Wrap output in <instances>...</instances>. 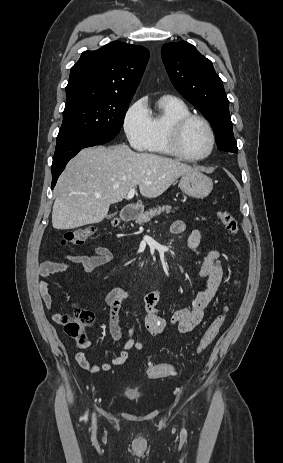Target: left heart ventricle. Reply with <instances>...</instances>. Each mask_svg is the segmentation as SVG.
<instances>
[{"instance_id":"obj_1","label":"left heart ventricle","mask_w":283,"mask_h":463,"mask_svg":"<svg viewBox=\"0 0 283 463\" xmlns=\"http://www.w3.org/2000/svg\"><path fill=\"white\" fill-rule=\"evenodd\" d=\"M210 147V137L206 127L199 121L191 122L181 137L183 152L191 157H199L207 153Z\"/></svg>"}]
</instances>
